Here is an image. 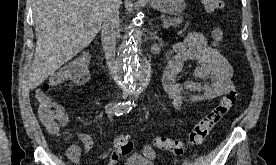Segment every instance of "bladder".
<instances>
[{"label": "bladder", "instance_id": "1", "mask_svg": "<svg viewBox=\"0 0 276 165\" xmlns=\"http://www.w3.org/2000/svg\"><path fill=\"white\" fill-rule=\"evenodd\" d=\"M123 165H154L150 160L140 155L130 156Z\"/></svg>", "mask_w": 276, "mask_h": 165}]
</instances>
